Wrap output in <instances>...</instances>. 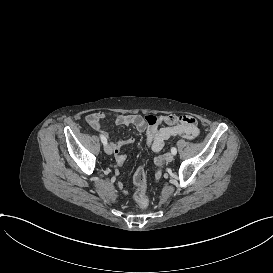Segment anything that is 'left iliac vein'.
Returning a JSON list of instances; mask_svg holds the SVG:
<instances>
[{"mask_svg":"<svg viewBox=\"0 0 273 273\" xmlns=\"http://www.w3.org/2000/svg\"><path fill=\"white\" fill-rule=\"evenodd\" d=\"M173 159H174V155H173L172 153H167V154L165 155V160H166L167 162H171V161H173Z\"/></svg>","mask_w":273,"mask_h":273,"instance_id":"left-iliac-vein-1","label":"left iliac vein"}]
</instances>
